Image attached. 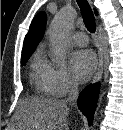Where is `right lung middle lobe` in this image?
<instances>
[{
  "instance_id": "right-lung-middle-lobe-1",
  "label": "right lung middle lobe",
  "mask_w": 123,
  "mask_h": 130,
  "mask_svg": "<svg viewBox=\"0 0 123 130\" xmlns=\"http://www.w3.org/2000/svg\"><path fill=\"white\" fill-rule=\"evenodd\" d=\"M31 55H26L21 57V65H25V63L28 61Z\"/></svg>"
}]
</instances>
